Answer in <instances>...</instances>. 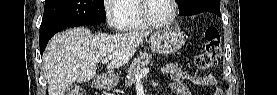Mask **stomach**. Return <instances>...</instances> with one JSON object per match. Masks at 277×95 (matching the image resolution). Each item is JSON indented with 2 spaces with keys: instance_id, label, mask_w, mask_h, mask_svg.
Masks as SVG:
<instances>
[{
  "instance_id": "obj_1",
  "label": "stomach",
  "mask_w": 277,
  "mask_h": 95,
  "mask_svg": "<svg viewBox=\"0 0 277 95\" xmlns=\"http://www.w3.org/2000/svg\"><path fill=\"white\" fill-rule=\"evenodd\" d=\"M185 42L182 32L167 29L153 33L149 38V46L153 52L159 54H173L177 52ZM118 83V77L110 76L104 85L113 87Z\"/></svg>"
}]
</instances>
